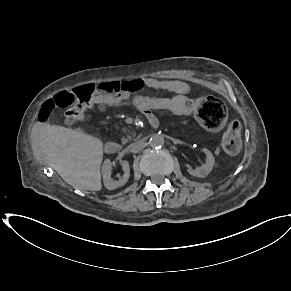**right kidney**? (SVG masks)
<instances>
[{
  "instance_id": "right-kidney-1",
  "label": "right kidney",
  "mask_w": 291,
  "mask_h": 291,
  "mask_svg": "<svg viewBox=\"0 0 291 291\" xmlns=\"http://www.w3.org/2000/svg\"><path fill=\"white\" fill-rule=\"evenodd\" d=\"M112 165L113 164L111 163V161L109 159H106L102 166L103 182H104V186L108 190H114L118 187L125 185L130 176V169H129L128 161H122L121 165H122L124 174L121 178H119L118 181L113 180L111 177Z\"/></svg>"
}]
</instances>
